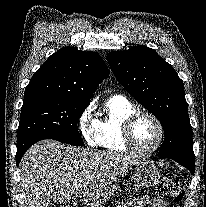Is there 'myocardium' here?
<instances>
[{
    "instance_id": "myocardium-1",
    "label": "myocardium",
    "mask_w": 206,
    "mask_h": 207,
    "mask_svg": "<svg viewBox=\"0 0 206 207\" xmlns=\"http://www.w3.org/2000/svg\"><path fill=\"white\" fill-rule=\"evenodd\" d=\"M141 117H148L154 121L158 128V139L155 145L148 149V150H142L138 148L134 141H133V135L132 130L135 125V123L140 119ZM165 139V128L163 126V123L161 120L152 112L145 111V110H135L131 115L128 116V118L124 121L122 126V141L127 149V151H130L138 156H149L154 154L163 144V141Z\"/></svg>"
}]
</instances>
